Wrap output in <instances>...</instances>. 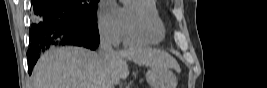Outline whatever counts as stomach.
I'll return each mask as SVG.
<instances>
[{"label": "stomach", "mask_w": 267, "mask_h": 88, "mask_svg": "<svg viewBox=\"0 0 267 88\" xmlns=\"http://www.w3.org/2000/svg\"><path fill=\"white\" fill-rule=\"evenodd\" d=\"M146 80L151 88H175L176 78L170 70L150 67L146 72Z\"/></svg>", "instance_id": "0dacf381"}]
</instances>
